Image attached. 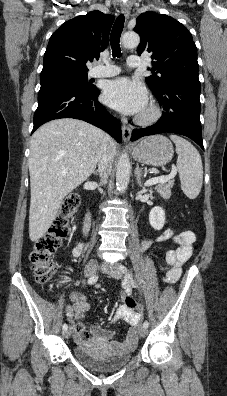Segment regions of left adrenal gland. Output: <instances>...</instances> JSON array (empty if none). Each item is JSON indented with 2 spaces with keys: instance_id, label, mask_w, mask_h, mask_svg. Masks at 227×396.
Instances as JSON below:
<instances>
[{
  "instance_id": "obj_1",
  "label": "left adrenal gland",
  "mask_w": 227,
  "mask_h": 396,
  "mask_svg": "<svg viewBox=\"0 0 227 396\" xmlns=\"http://www.w3.org/2000/svg\"><path fill=\"white\" fill-rule=\"evenodd\" d=\"M134 174L136 176V181H137L138 186L143 187V183H142L143 170H142V168H139V164L136 165Z\"/></svg>"
}]
</instances>
